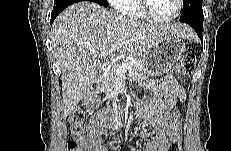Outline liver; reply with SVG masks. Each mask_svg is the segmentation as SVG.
Wrapping results in <instances>:
<instances>
[{
    "instance_id": "6515ba94",
    "label": "liver",
    "mask_w": 231,
    "mask_h": 151,
    "mask_svg": "<svg viewBox=\"0 0 231 151\" xmlns=\"http://www.w3.org/2000/svg\"><path fill=\"white\" fill-rule=\"evenodd\" d=\"M169 35L188 39L194 37V32L181 23H140L91 1L67 7L51 28L53 53L61 70L64 115L76 108L88 87L96 81L100 58L93 52H106L112 45L121 44L116 50L121 57L142 56Z\"/></svg>"
}]
</instances>
